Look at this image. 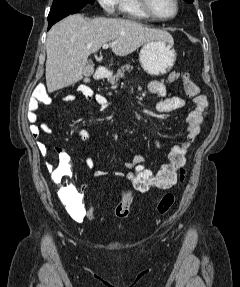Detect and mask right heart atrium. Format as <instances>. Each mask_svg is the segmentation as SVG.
I'll return each mask as SVG.
<instances>
[{"mask_svg": "<svg viewBox=\"0 0 240 287\" xmlns=\"http://www.w3.org/2000/svg\"><path fill=\"white\" fill-rule=\"evenodd\" d=\"M99 5L105 10L106 13L113 15L118 6L119 0H97Z\"/></svg>", "mask_w": 240, "mask_h": 287, "instance_id": "right-heart-atrium-1", "label": "right heart atrium"}]
</instances>
